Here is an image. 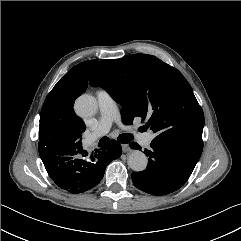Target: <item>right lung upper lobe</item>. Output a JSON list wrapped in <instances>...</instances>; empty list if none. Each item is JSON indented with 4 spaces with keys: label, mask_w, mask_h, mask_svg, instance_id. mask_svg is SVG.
<instances>
[{
    "label": "right lung upper lobe",
    "mask_w": 241,
    "mask_h": 241,
    "mask_svg": "<svg viewBox=\"0 0 241 241\" xmlns=\"http://www.w3.org/2000/svg\"><path fill=\"white\" fill-rule=\"evenodd\" d=\"M97 60L80 63L70 69L54 86L41 109L39 151L62 154L82 148L84 122L75 115V98L87 88V81Z\"/></svg>",
    "instance_id": "right-lung-upper-lobe-1"
}]
</instances>
